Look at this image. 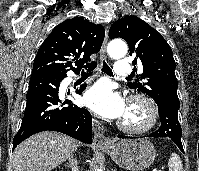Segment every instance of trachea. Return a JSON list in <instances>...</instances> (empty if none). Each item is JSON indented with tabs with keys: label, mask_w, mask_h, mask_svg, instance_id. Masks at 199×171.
Here are the masks:
<instances>
[{
	"label": "trachea",
	"mask_w": 199,
	"mask_h": 171,
	"mask_svg": "<svg viewBox=\"0 0 199 171\" xmlns=\"http://www.w3.org/2000/svg\"><path fill=\"white\" fill-rule=\"evenodd\" d=\"M102 71L105 72V73L108 74V75H111V76L113 75V72H112L111 68L106 64L105 61H103ZM82 73L88 74V73H91V72H90V71H86V72H85V71L83 70Z\"/></svg>",
	"instance_id": "3493384b"
}]
</instances>
